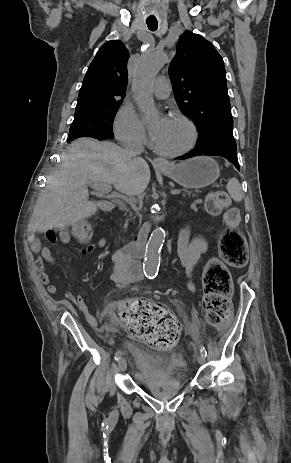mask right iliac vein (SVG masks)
Returning a JSON list of instances; mask_svg holds the SVG:
<instances>
[{
  "label": "right iliac vein",
  "instance_id": "63e3f726",
  "mask_svg": "<svg viewBox=\"0 0 291 463\" xmlns=\"http://www.w3.org/2000/svg\"><path fill=\"white\" fill-rule=\"evenodd\" d=\"M118 369L120 372H125L127 369V362L125 358H120L118 361Z\"/></svg>",
  "mask_w": 291,
  "mask_h": 463
}]
</instances>
